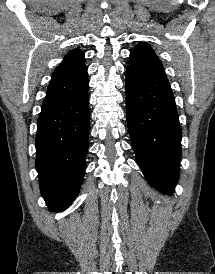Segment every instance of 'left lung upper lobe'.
<instances>
[{
	"label": "left lung upper lobe",
	"mask_w": 215,
	"mask_h": 274,
	"mask_svg": "<svg viewBox=\"0 0 215 274\" xmlns=\"http://www.w3.org/2000/svg\"><path fill=\"white\" fill-rule=\"evenodd\" d=\"M129 66L153 75L167 79L163 65L154 50L147 43H139L130 53Z\"/></svg>",
	"instance_id": "obj_1"
}]
</instances>
